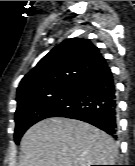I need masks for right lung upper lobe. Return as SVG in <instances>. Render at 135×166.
I'll use <instances>...</instances> for the list:
<instances>
[{
  "instance_id": "obj_1",
  "label": "right lung upper lobe",
  "mask_w": 135,
  "mask_h": 166,
  "mask_svg": "<svg viewBox=\"0 0 135 166\" xmlns=\"http://www.w3.org/2000/svg\"><path fill=\"white\" fill-rule=\"evenodd\" d=\"M105 63L99 49L90 40L66 39L23 77L17 89V106L72 86Z\"/></svg>"
}]
</instances>
